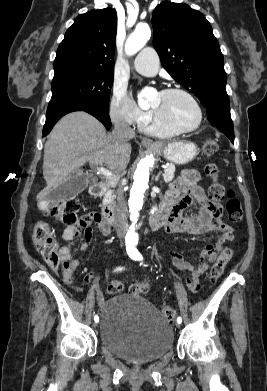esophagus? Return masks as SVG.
Segmentation results:
<instances>
[{
	"mask_svg": "<svg viewBox=\"0 0 267 391\" xmlns=\"http://www.w3.org/2000/svg\"><path fill=\"white\" fill-rule=\"evenodd\" d=\"M141 143H142L144 146H152V145L154 144L153 141H152L151 139L146 138V137L142 138Z\"/></svg>",
	"mask_w": 267,
	"mask_h": 391,
	"instance_id": "obj_1",
	"label": "esophagus"
}]
</instances>
